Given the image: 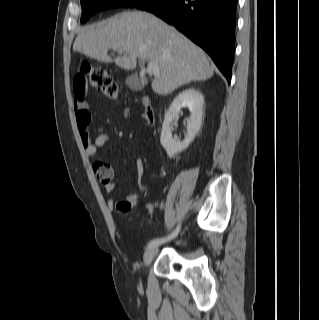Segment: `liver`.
I'll use <instances>...</instances> for the list:
<instances>
[{"instance_id":"1","label":"liver","mask_w":319,"mask_h":320,"mask_svg":"<svg viewBox=\"0 0 319 320\" xmlns=\"http://www.w3.org/2000/svg\"><path fill=\"white\" fill-rule=\"evenodd\" d=\"M110 49L124 54L112 60ZM73 50L101 62H115L125 70L135 69L137 59L156 62L160 74L153 79L152 89L159 95L207 80L214 73L200 47L153 14L141 11L123 12L83 27Z\"/></svg>"}]
</instances>
